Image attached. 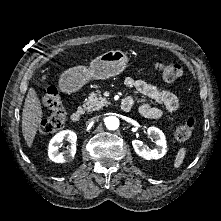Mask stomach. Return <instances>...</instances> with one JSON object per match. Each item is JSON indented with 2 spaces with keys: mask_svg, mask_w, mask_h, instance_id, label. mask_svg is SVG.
Segmentation results:
<instances>
[{
  "mask_svg": "<svg viewBox=\"0 0 221 221\" xmlns=\"http://www.w3.org/2000/svg\"><path fill=\"white\" fill-rule=\"evenodd\" d=\"M128 56L121 50H110L91 61L90 66L68 69L61 77L67 91H77L91 80H105L120 74L128 65Z\"/></svg>",
  "mask_w": 221,
  "mask_h": 221,
  "instance_id": "stomach-1",
  "label": "stomach"
}]
</instances>
